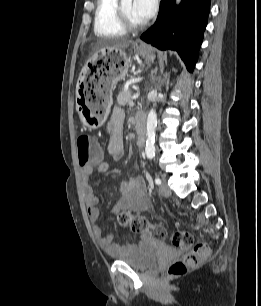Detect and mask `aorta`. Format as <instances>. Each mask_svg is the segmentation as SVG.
<instances>
[{
  "mask_svg": "<svg viewBox=\"0 0 261 306\" xmlns=\"http://www.w3.org/2000/svg\"><path fill=\"white\" fill-rule=\"evenodd\" d=\"M122 1H131V0H122ZM181 0H176L179 3ZM157 126V115L156 112L151 109L148 118H147V140H146V147L145 153L147 156L151 157L155 153V129Z\"/></svg>",
  "mask_w": 261,
  "mask_h": 306,
  "instance_id": "762f6f07",
  "label": "aorta"
}]
</instances>
